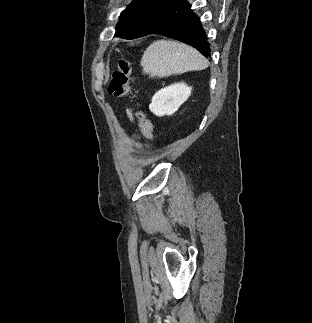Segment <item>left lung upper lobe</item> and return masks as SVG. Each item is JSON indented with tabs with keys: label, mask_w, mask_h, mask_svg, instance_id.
I'll return each mask as SVG.
<instances>
[{
	"label": "left lung upper lobe",
	"mask_w": 312,
	"mask_h": 323,
	"mask_svg": "<svg viewBox=\"0 0 312 323\" xmlns=\"http://www.w3.org/2000/svg\"><path fill=\"white\" fill-rule=\"evenodd\" d=\"M173 0H133L121 13L116 37L127 39L146 35L153 25L171 11Z\"/></svg>",
	"instance_id": "1"
}]
</instances>
